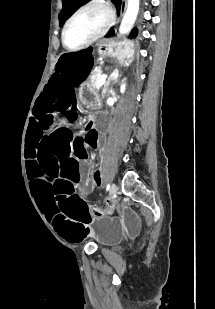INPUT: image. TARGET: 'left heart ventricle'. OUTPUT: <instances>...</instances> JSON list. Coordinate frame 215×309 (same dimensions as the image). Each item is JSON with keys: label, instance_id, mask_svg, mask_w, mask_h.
<instances>
[{"label": "left heart ventricle", "instance_id": "b2bd125f", "mask_svg": "<svg viewBox=\"0 0 215 309\" xmlns=\"http://www.w3.org/2000/svg\"><path fill=\"white\" fill-rule=\"evenodd\" d=\"M100 15L86 13L79 16L69 27L66 41L69 45H78L94 33L100 22Z\"/></svg>", "mask_w": 215, "mask_h": 309}]
</instances>
